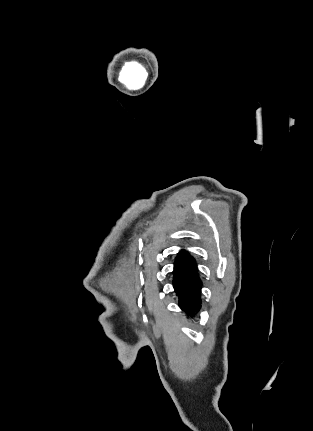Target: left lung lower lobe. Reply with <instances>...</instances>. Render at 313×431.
Wrapping results in <instances>:
<instances>
[{
    "label": "left lung lower lobe",
    "instance_id": "obj_1",
    "mask_svg": "<svg viewBox=\"0 0 313 431\" xmlns=\"http://www.w3.org/2000/svg\"><path fill=\"white\" fill-rule=\"evenodd\" d=\"M173 286L178 296V305L186 314L194 315L201 308L202 283L196 261L182 250L176 257Z\"/></svg>",
    "mask_w": 313,
    "mask_h": 431
}]
</instances>
